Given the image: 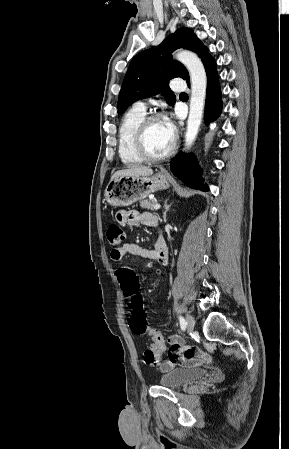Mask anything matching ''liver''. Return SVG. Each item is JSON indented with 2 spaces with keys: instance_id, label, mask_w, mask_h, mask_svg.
I'll list each match as a JSON object with an SVG mask.
<instances>
[{
  "instance_id": "6515ba94",
  "label": "liver",
  "mask_w": 289,
  "mask_h": 449,
  "mask_svg": "<svg viewBox=\"0 0 289 449\" xmlns=\"http://www.w3.org/2000/svg\"><path fill=\"white\" fill-rule=\"evenodd\" d=\"M153 174V170L146 166H134L131 168L117 171L111 179L119 176L134 177V176H150Z\"/></svg>"
}]
</instances>
